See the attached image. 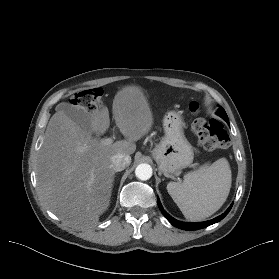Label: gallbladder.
<instances>
[{
    "instance_id": "1",
    "label": "gallbladder",
    "mask_w": 279,
    "mask_h": 279,
    "mask_svg": "<svg viewBox=\"0 0 279 279\" xmlns=\"http://www.w3.org/2000/svg\"><path fill=\"white\" fill-rule=\"evenodd\" d=\"M59 109H62L82 129L87 131L91 130V119L85 109L67 103H61Z\"/></svg>"
}]
</instances>
